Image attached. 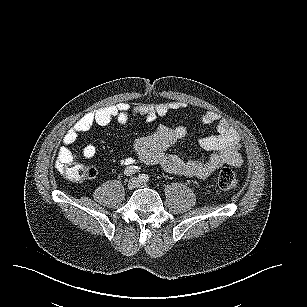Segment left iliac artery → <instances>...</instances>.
Here are the masks:
<instances>
[{
	"label": "left iliac artery",
	"mask_w": 307,
	"mask_h": 307,
	"mask_svg": "<svg viewBox=\"0 0 307 307\" xmlns=\"http://www.w3.org/2000/svg\"><path fill=\"white\" fill-rule=\"evenodd\" d=\"M139 180L142 182H147L149 180V177L146 174H141L139 175Z\"/></svg>",
	"instance_id": "left-iliac-artery-1"
}]
</instances>
